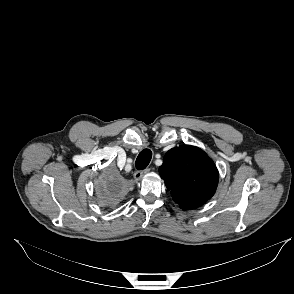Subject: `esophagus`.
I'll list each match as a JSON object with an SVG mask.
<instances>
[{
    "mask_svg": "<svg viewBox=\"0 0 294 294\" xmlns=\"http://www.w3.org/2000/svg\"><path fill=\"white\" fill-rule=\"evenodd\" d=\"M150 171V168H146L144 170L136 171L133 175V178L135 181L140 180L145 174H147Z\"/></svg>",
    "mask_w": 294,
    "mask_h": 294,
    "instance_id": "esophagus-1",
    "label": "esophagus"
}]
</instances>
